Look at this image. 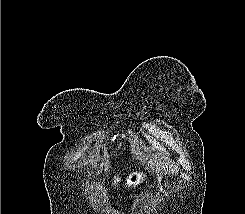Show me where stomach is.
<instances>
[{
    "instance_id": "1",
    "label": "stomach",
    "mask_w": 245,
    "mask_h": 214,
    "mask_svg": "<svg viewBox=\"0 0 245 214\" xmlns=\"http://www.w3.org/2000/svg\"><path fill=\"white\" fill-rule=\"evenodd\" d=\"M145 180V174L143 172H133L131 173L128 178L126 179V185L128 187H135L137 185H140Z\"/></svg>"
}]
</instances>
